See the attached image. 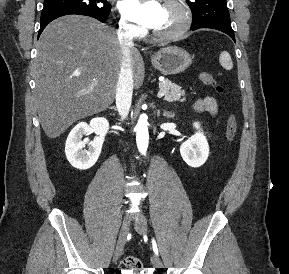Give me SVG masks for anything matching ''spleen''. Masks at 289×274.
<instances>
[{
    "instance_id": "spleen-1",
    "label": "spleen",
    "mask_w": 289,
    "mask_h": 274,
    "mask_svg": "<svg viewBox=\"0 0 289 274\" xmlns=\"http://www.w3.org/2000/svg\"><path fill=\"white\" fill-rule=\"evenodd\" d=\"M221 66L226 70H231L233 68V62L229 53L222 52L219 58Z\"/></svg>"
}]
</instances>
